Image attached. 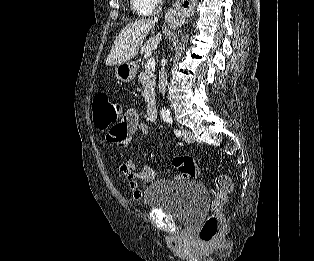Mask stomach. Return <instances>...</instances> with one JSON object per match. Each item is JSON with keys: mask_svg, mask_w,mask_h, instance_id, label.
Wrapping results in <instances>:
<instances>
[{"mask_svg": "<svg viewBox=\"0 0 314 261\" xmlns=\"http://www.w3.org/2000/svg\"><path fill=\"white\" fill-rule=\"evenodd\" d=\"M137 73V64L135 62H123L116 66L115 75L122 82L132 81Z\"/></svg>", "mask_w": 314, "mask_h": 261, "instance_id": "obj_1", "label": "stomach"}]
</instances>
